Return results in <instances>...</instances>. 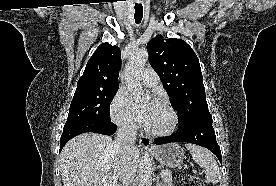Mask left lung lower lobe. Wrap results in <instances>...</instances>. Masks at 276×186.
Listing matches in <instances>:
<instances>
[{"label":"left lung lower lobe","mask_w":276,"mask_h":186,"mask_svg":"<svg viewBox=\"0 0 276 186\" xmlns=\"http://www.w3.org/2000/svg\"><path fill=\"white\" fill-rule=\"evenodd\" d=\"M155 144H165L170 142H188L193 143L209 149L213 152L220 163H222V156L220 147L216 141L215 131L212 126V119H205L194 122L168 137L156 138Z\"/></svg>","instance_id":"0a47b994"}]
</instances>
